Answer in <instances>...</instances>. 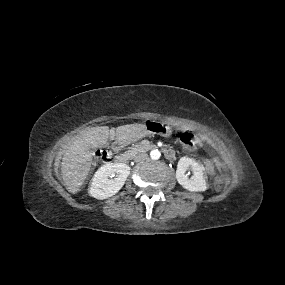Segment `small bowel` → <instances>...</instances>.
Returning a JSON list of instances; mask_svg holds the SVG:
<instances>
[{
    "label": "small bowel",
    "mask_w": 285,
    "mask_h": 285,
    "mask_svg": "<svg viewBox=\"0 0 285 285\" xmlns=\"http://www.w3.org/2000/svg\"><path fill=\"white\" fill-rule=\"evenodd\" d=\"M203 164L205 171L210 175L215 174L217 169L224 168L223 161L218 157L206 156L203 159Z\"/></svg>",
    "instance_id": "1"
}]
</instances>
